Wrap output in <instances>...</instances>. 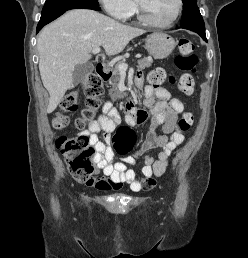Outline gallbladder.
Returning <instances> with one entry per match:
<instances>
[{"instance_id": "obj_1", "label": "gallbladder", "mask_w": 248, "mask_h": 258, "mask_svg": "<svg viewBox=\"0 0 248 258\" xmlns=\"http://www.w3.org/2000/svg\"><path fill=\"white\" fill-rule=\"evenodd\" d=\"M94 67L92 63L78 64L74 71V84H77L82 78L92 73Z\"/></svg>"}]
</instances>
